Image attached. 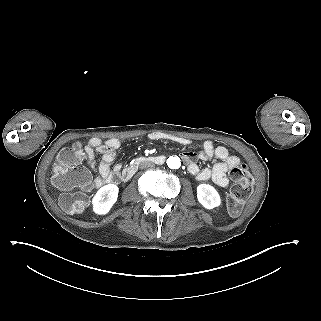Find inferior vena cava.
I'll return each instance as SVG.
<instances>
[{"label": "inferior vena cava", "mask_w": 321, "mask_h": 321, "mask_svg": "<svg viewBox=\"0 0 321 321\" xmlns=\"http://www.w3.org/2000/svg\"><path fill=\"white\" fill-rule=\"evenodd\" d=\"M154 166H155V164L153 162L145 160L140 163L139 168L145 169V168H150V167H154Z\"/></svg>", "instance_id": "602c4592"}]
</instances>
